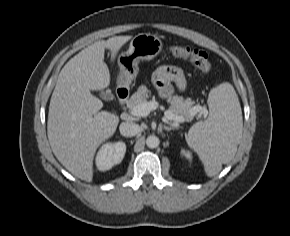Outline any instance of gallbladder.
<instances>
[{
	"label": "gallbladder",
	"mask_w": 290,
	"mask_h": 236,
	"mask_svg": "<svg viewBox=\"0 0 290 236\" xmlns=\"http://www.w3.org/2000/svg\"><path fill=\"white\" fill-rule=\"evenodd\" d=\"M100 95H101V97L104 98V99H109L110 96H111L109 93L104 92V91H101V92H100Z\"/></svg>",
	"instance_id": "gallbladder-1"
}]
</instances>
